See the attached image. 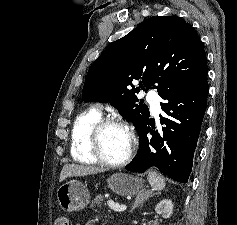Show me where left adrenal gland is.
Returning a JSON list of instances; mask_svg holds the SVG:
<instances>
[{
  "instance_id": "obj_1",
  "label": "left adrenal gland",
  "mask_w": 237,
  "mask_h": 225,
  "mask_svg": "<svg viewBox=\"0 0 237 225\" xmlns=\"http://www.w3.org/2000/svg\"><path fill=\"white\" fill-rule=\"evenodd\" d=\"M156 194H160V192L154 193L152 190H147V191H143L139 193L135 198L131 212H133V210L137 208L138 206H140L144 201L148 200L150 197Z\"/></svg>"
}]
</instances>
